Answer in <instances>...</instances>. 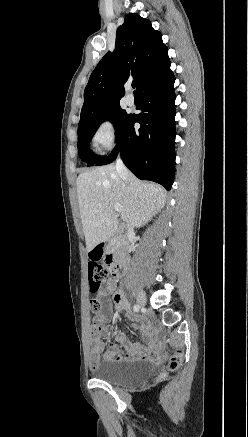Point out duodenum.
Listing matches in <instances>:
<instances>
[{"label":"duodenum","instance_id":"duodenum-1","mask_svg":"<svg viewBox=\"0 0 248 437\" xmlns=\"http://www.w3.org/2000/svg\"><path fill=\"white\" fill-rule=\"evenodd\" d=\"M116 239L121 243L125 244L127 241L133 238L132 233H126L123 228L118 227L115 231ZM109 241H102L98 243L95 248H90L88 250V255L90 257H103L105 255V250L107 249ZM129 262V257L127 253L120 249L115 253V264L113 266V275L118 277L122 274L123 270L126 268Z\"/></svg>","mask_w":248,"mask_h":437}]
</instances>
